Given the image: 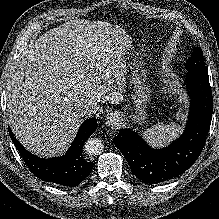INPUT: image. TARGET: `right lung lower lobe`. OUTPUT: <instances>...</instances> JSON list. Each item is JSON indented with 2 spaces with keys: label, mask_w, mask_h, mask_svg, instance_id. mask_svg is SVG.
I'll use <instances>...</instances> for the list:
<instances>
[{
  "label": "right lung lower lobe",
  "mask_w": 219,
  "mask_h": 219,
  "mask_svg": "<svg viewBox=\"0 0 219 219\" xmlns=\"http://www.w3.org/2000/svg\"><path fill=\"white\" fill-rule=\"evenodd\" d=\"M96 129V119L84 121L66 154L49 159H42L28 152L14 137L10 129L9 135L28 168L38 178L47 182L75 187L91 173L93 168V163L88 162L82 156V148L87 138Z\"/></svg>",
  "instance_id": "98d812e1"
}]
</instances>
